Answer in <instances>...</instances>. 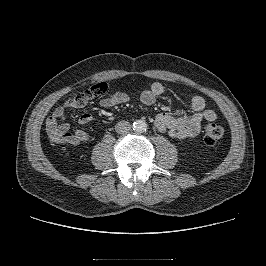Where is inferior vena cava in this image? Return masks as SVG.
<instances>
[{
  "label": "inferior vena cava",
  "instance_id": "obj_1",
  "mask_svg": "<svg viewBox=\"0 0 266 266\" xmlns=\"http://www.w3.org/2000/svg\"><path fill=\"white\" fill-rule=\"evenodd\" d=\"M115 130L118 134H126L131 130V125L127 121H120L115 125Z\"/></svg>",
  "mask_w": 266,
  "mask_h": 266
}]
</instances>
